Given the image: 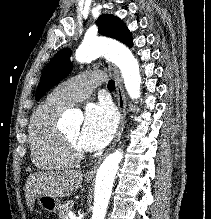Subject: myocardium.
<instances>
[{
  "mask_svg": "<svg viewBox=\"0 0 211 219\" xmlns=\"http://www.w3.org/2000/svg\"><path fill=\"white\" fill-rule=\"evenodd\" d=\"M62 142L67 154L74 160H81L85 153L81 146L75 143L66 133H61Z\"/></svg>",
  "mask_w": 211,
  "mask_h": 219,
  "instance_id": "f54148a6",
  "label": "myocardium"
}]
</instances>
